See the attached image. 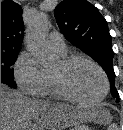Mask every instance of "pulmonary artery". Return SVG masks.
I'll use <instances>...</instances> for the list:
<instances>
[{
    "label": "pulmonary artery",
    "mask_w": 123,
    "mask_h": 130,
    "mask_svg": "<svg viewBox=\"0 0 123 130\" xmlns=\"http://www.w3.org/2000/svg\"><path fill=\"white\" fill-rule=\"evenodd\" d=\"M48 45L55 51H65L66 44L63 36L59 32H51L48 36Z\"/></svg>",
    "instance_id": "1"
}]
</instances>
